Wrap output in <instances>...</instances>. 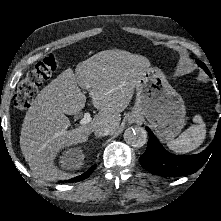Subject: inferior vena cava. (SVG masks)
Here are the masks:
<instances>
[{"instance_id":"602c4592","label":"inferior vena cava","mask_w":221,"mask_h":221,"mask_svg":"<svg viewBox=\"0 0 221 221\" xmlns=\"http://www.w3.org/2000/svg\"><path fill=\"white\" fill-rule=\"evenodd\" d=\"M113 133V129L111 127H97L94 129V134L96 137L107 136Z\"/></svg>"}]
</instances>
